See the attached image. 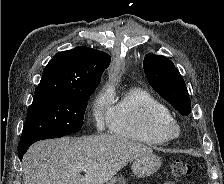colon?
<instances>
[{
    "label": "colon",
    "instance_id": "obj_1",
    "mask_svg": "<svg viewBox=\"0 0 224 184\" xmlns=\"http://www.w3.org/2000/svg\"><path fill=\"white\" fill-rule=\"evenodd\" d=\"M170 171L171 180L168 181L166 184H175L176 182H179L189 177L192 172V168L186 162H183L181 160H174L170 165Z\"/></svg>",
    "mask_w": 224,
    "mask_h": 184
}]
</instances>
